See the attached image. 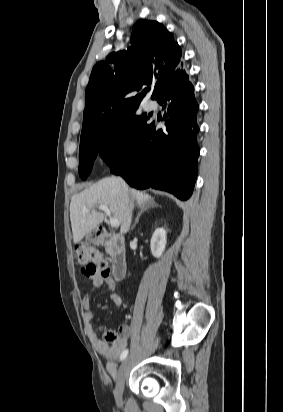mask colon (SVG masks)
<instances>
[{
  "label": "colon",
  "instance_id": "obj_1",
  "mask_svg": "<svg viewBox=\"0 0 283 412\" xmlns=\"http://www.w3.org/2000/svg\"><path fill=\"white\" fill-rule=\"evenodd\" d=\"M75 256L77 263L82 266L84 274L109 276L110 267L98 248L88 245L77 246ZM103 338L107 343L114 345L119 342L120 335L113 330H104Z\"/></svg>",
  "mask_w": 283,
  "mask_h": 412
}]
</instances>
